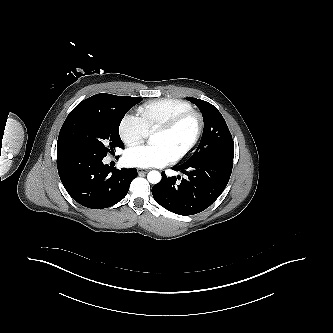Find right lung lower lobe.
<instances>
[{
    "label": "right lung lower lobe",
    "mask_w": 333,
    "mask_h": 333,
    "mask_svg": "<svg viewBox=\"0 0 333 333\" xmlns=\"http://www.w3.org/2000/svg\"><path fill=\"white\" fill-rule=\"evenodd\" d=\"M103 158L86 151L57 150L61 182L69 195L85 207L103 209L118 203L137 177L135 168L115 169L103 164Z\"/></svg>",
    "instance_id": "obj_1"
}]
</instances>
